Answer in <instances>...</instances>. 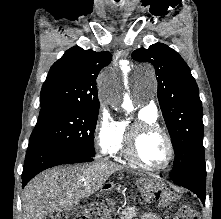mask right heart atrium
I'll return each instance as SVG.
<instances>
[{"label":"right heart atrium","instance_id":"d8ad5b80","mask_svg":"<svg viewBox=\"0 0 221 219\" xmlns=\"http://www.w3.org/2000/svg\"><path fill=\"white\" fill-rule=\"evenodd\" d=\"M118 121L111 112L102 107L95 125V142L99 152L108 154L117 133Z\"/></svg>","mask_w":221,"mask_h":219}]
</instances>
